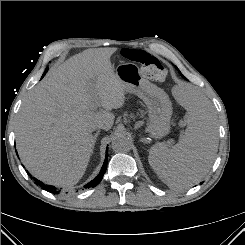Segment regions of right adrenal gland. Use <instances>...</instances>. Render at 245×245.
Listing matches in <instances>:
<instances>
[{
	"label": "right adrenal gland",
	"mask_w": 245,
	"mask_h": 245,
	"mask_svg": "<svg viewBox=\"0 0 245 245\" xmlns=\"http://www.w3.org/2000/svg\"><path fill=\"white\" fill-rule=\"evenodd\" d=\"M100 131H97L95 134H94V144L96 143V140H97V137L99 135Z\"/></svg>",
	"instance_id": "1"
}]
</instances>
